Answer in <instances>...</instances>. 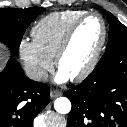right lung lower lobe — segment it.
I'll return each mask as SVG.
<instances>
[{"mask_svg":"<svg viewBox=\"0 0 127 127\" xmlns=\"http://www.w3.org/2000/svg\"><path fill=\"white\" fill-rule=\"evenodd\" d=\"M49 90L27 78L10 58L0 73V127H32L36 115L49 103Z\"/></svg>","mask_w":127,"mask_h":127,"instance_id":"obj_1","label":"right lung lower lobe"}]
</instances>
